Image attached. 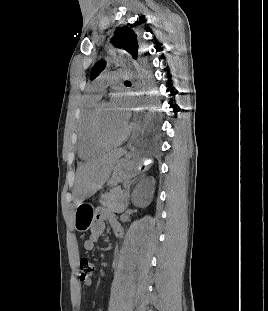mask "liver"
Listing matches in <instances>:
<instances>
[{
  "instance_id": "obj_1",
  "label": "liver",
  "mask_w": 268,
  "mask_h": 311,
  "mask_svg": "<svg viewBox=\"0 0 268 311\" xmlns=\"http://www.w3.org/2000/svg\"><path fill=\"white\" fill-rule=\"evenodd\" d=\"M124 154L123 149L115 150L78 168L75 184L76 206L102 188L110 178L115 163Z\"/></svg>"
}]
</instances>
